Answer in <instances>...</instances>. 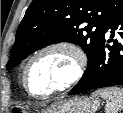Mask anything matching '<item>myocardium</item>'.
I'll use <instances>...</instances> for the list:
<instances>
[{
	"mask_svg": "<svg viewBox=\"0 0 123 113\" xmlns=\"http://www.w3.org/2000/svg\"><path fill=\"white\" fill-rule=\"evenodd\" d=\"M54 52L66 53L71 58L70 74L59 84H57L47 92L40 94L32 92L26 83V75L29 67L41 56ZM86 66H87V55L80 45L69 40H59L42 46L28 58L21 71V82L23 88L30 96L40 99L49 98L77 84L84 76Z\"/></svg>",
	"mask_w": 123,
	"mask_h": 113,
	"instance_id": "obj_1",
	"label": "myocardium"
}]
</instances>
